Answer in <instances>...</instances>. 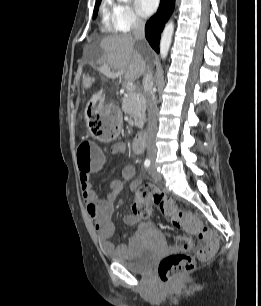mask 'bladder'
<instances>
[{
    "label": "bladder",
    "instance_id": "bladder-1",
    "mask_svg": "<svg viewBox=\"0 0 261 306\" xmlns=\"http://www.w3.org/2000/svg\"><path fill=\"white\" fill-rule=\"evenodd\" d=\"M149 232H151L150 239L154 241L153 245L146 244L143 238L138 236L135 244L130 247L126 255L105 254L109 259L131 272L145 273L152 267L159 252L163 250L164 244V235L160 231L154 229Z\"/></svg>",
    "mask_w": 261,
    "mask_h": 306
}]
</instances>
